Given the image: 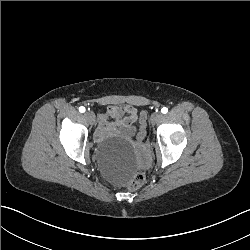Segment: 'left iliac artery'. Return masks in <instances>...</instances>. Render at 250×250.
Returning <instances> with one entry per match:
<instances>
[{
  "instance_id": "1",
  "label": "left iliac artery",
  "mask_w": 250,
  "mask_h": 250,
  "mask_svg": "<svg viewBox=\"0 0 250 250\" xmlns=\"http://www.w3.org/2000/svg\"><path fill=\"white\" fill-rule=\"evenodd\" d=\"M161 112H162L163 114H166V113L168 112V108L163 107V108L161 109Z\"/></svg>"
}]
</instances>
